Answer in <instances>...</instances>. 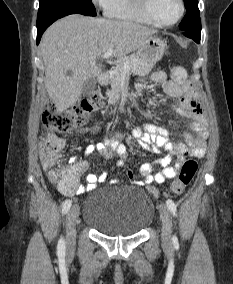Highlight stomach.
<instances>
[{
  "label": "stomach",
  "instance_id": "stomach-1",
  "mask_svg": "<svg viewBox=\"0 0 233 284\" xmlns=\"http://www.w3.org/2000/svg\"><path fill=\"white\" fill-rule=\"evenodd\" d=\"M164 52V41L152 35L137 50V56L146 63L155 64L163 57Z\"/></svg>",
  "mask_w": 233,
  "mask_h": 284
}]
</instances>
